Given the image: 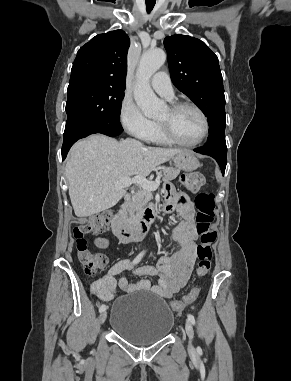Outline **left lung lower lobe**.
<instances>
[{"label": "left lung lower lobe", "instance_id": "obj_1", "mask_svg": "<svg viewBox=\"0 0 291 381\" xmlns=\"http://www.w3.org/2000/svg\"><path fill=\"white\" fill-rule=\"evenodd\" d=\"M195 152L213 157L224 175L227 164V147L225 141L207 142L204 146L194 149Z\"/></svg>", "mask_w": 291, "mask_h": 381}]
</instances>
